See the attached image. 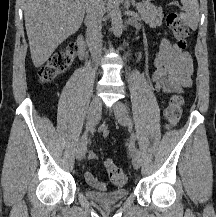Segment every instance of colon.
<instances>
[{
    "mask_svg": "<svg viewBox=\"0 0 216 217\" xmlns=\"http://www.w3.org/2000/svg\"><path fill=\"white\" fill-rule=\"evenodd\" d=\"M166 22L177 42V45L184 49L188 43L189 29L186 23L177 12H170L167 15ZM77 45L71 43L67 48L54 55L38 72L39 81L43 84L53 81L56 77L64 73L73 60ZM184 99L180 94L171 96L165 110V119L169 128L174 127L181 118L183 111ZM99 134L103 138H107L110 134V128L107 124H102L99 128ZM108 172L111 181L116 185H124L126 182V174L122 168L109 164Z\"/></svg>",
    "mask_w": 216,
    "mask_h": 217,
    "instance_id": "1",
    "label": "colon"
}]
</instances>
